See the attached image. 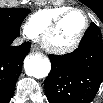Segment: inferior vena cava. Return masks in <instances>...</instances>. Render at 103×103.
I'll return each instance as SVG.
<instances>
[{"instance_id":"1","label":"inferior vena cava","mask_w":103,"mask_h":103,"mask_svg":"<svg viewBox=\"0 0 103 103\" xmlns=\"http://www.w3.org/2000/svg\"><path fill=\"white\" fill-rule=\"evenodd\" d=\"M22 42H23V39H21V38H17V39H15V41H14V45L15 46H17V45H20V44H22Z\"/></svg>"}]
</instances>
